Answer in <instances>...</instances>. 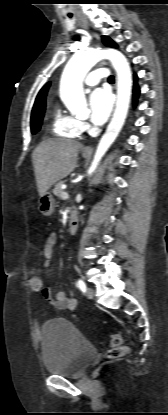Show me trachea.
Returning <instances> with one entry per match:
<instances>
[{"instance_id":"1","label":"trachea","mask_w":168,"mask_h":415,"mask_svg":"<svg viewBox=\"0 0 168 415\" xmlns=\"http://www.w3.org/2000/svg\"><path fill=\"white\" fill-rule=\"evenodd\" d=\"M69 17L71 18V15H69ZM108 81L109 82H113L114 81V77L113 76H109Z\"/></svg>"}]
</instances>
